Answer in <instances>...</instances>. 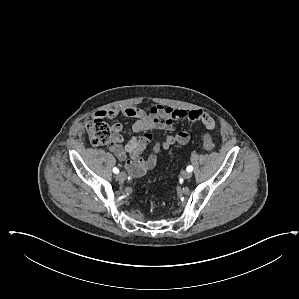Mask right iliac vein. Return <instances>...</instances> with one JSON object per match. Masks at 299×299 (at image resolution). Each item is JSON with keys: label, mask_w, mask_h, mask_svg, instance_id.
<instances>
[{"label": "right iliac vein", "mask_w": 299, "mask_h": 299, "mask_svg": "<svg viewBox=\"0 0 299 299\" xmlns=\"http://www.w3.org/2000/svg\"><path fill=\"white\" fill-rule=\"evenodd\" d=\"M126 173H124V172H121V173H119L118 175H117V179H118V181H120V182H124L125 180H126Z\"/></svg>", "instance_id": "right-iliac-vein-1"}]
</instances>
